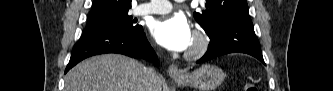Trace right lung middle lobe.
I'll list each match as a JSON object with an SVG mask.
<instances>
[{
  "instance_id": "right-lung-middle-lobe-1",
  "label": "right lung middle lobe",
  "mask_w": 333,
  "mask_h": 91,
  "mask_svg": "<svg viewBox=\"0 0 333 91\" xmlns=\"http://www.w3.org/2000/svg\"><path fill=\"white\" fill-rule=\"evenodd\" d=\"M137 19H133L132 16L128 15V11L106 16L100 18L89 19L86 28H112V29H122L132 32H141L143 27L136 24Z\"/></svg>"
}]
</instances>
